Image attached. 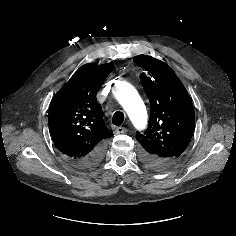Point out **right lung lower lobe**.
<instances>
[{
  "label": "right lung lower lobe",
  "mask_w": 236,
  "mask_h": 236,
  "mask_svg": "<svg viewBox=\"0 0 236 236\" xmlns=\"http://www.w3.org/2000/svg\"><path fill=\"white\" fill-rule=\"evenodd\" d=\"M106 142L99 143L89 154L80 158H69L68 161L75 167L88 169L96 166L104 157Z\"/></svg>",
  "instance_id": "obj_1"
}]
</instances>
